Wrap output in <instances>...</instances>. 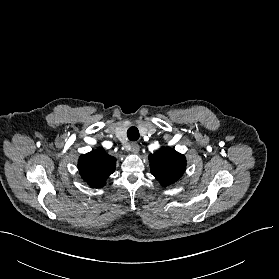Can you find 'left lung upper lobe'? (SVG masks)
I'll list each match as a JSON object with an SVG mask.
<instances>
[{
    "instance_id": "1",
    "label": "left lung upper lobe",
    "mask_w": 279,
    "mask_h": 279,
    "mask_svg": "<svg viewBox=\"0 0 279 279\" xmlns=\"http://www.w3.org/2000/svg\"><path fill=\"white\" fill-rule=\"evenodd\" d=\"M151 174L163 185L176 182L184 173L186 159L174 149L161 148L149 155Z\"/></svg>"
}]
</instances>
